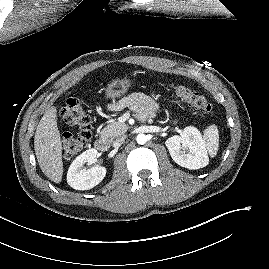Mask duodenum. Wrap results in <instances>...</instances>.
<instances>
[{"label":"duodenum","mask_w":269,"mask_h":269,"mask_svg":"<svg viewBox=\"0 0 269 269\" xmlns=\"http://www.w3.org/2000/svg\"><path fill=\"white\" fill-rule=\"evenodd\" d=\"M94 146L98 151L106 152L109 149V141L106 137H98L95 142Z\"/></svg>","instance_id":"410a0bca"}]
</instances>
